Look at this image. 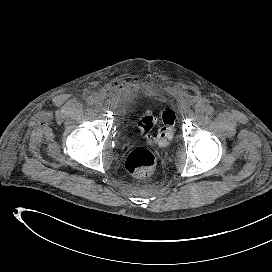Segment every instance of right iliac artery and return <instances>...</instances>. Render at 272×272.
Instances as JSON below:
<instances>
[{
	"label": "right iliac artery",
	"mask_w": 272,
	"mask_h": 272,
	"mask_svg": "<svg viewBox=\"0 0 272 272\" xmlns=\"http://www.w3.org/2000/svg\"><path fill=\"white\" fill-rule=\"evenodd\" d=\"M93 98L92 97H88L87 99H86V103H87V105H89V106H91V105H93Z\"/></svg>",
	"instance_id": "82829eb1"
}]
</instances>
